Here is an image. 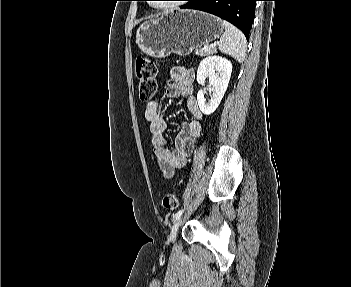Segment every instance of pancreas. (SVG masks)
<instances>
[{
    "label": "pancreas",
    "instance_id": "1",
    "mask_svg": "<svg viewBox=\"0 0 351 287\" xmlns=\"http://www.w3.org/2000/svg\"><path fill=\"white\" fill-rule=\"evenodd\" d=\"M214 52V49L212 48H208L207 50H205L204 48H199V49H196L195 50V53L198 55V56H201V57H204L206 55H209L211 53Z\"/></svg>",
    "mask_w": 351,
    "mask_h": 287
}]
</instances>
